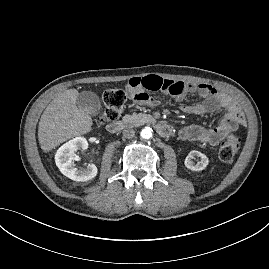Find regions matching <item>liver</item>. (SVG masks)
Segmentation results:
<instances>
[{
  "mask_svg": "<svg viewBox=\"0 0 269 269\" xmlns=\"http://www.w3.org/2000/svg\"><path fill=\"white\" fill-rule=\"evenodd\" d=\"M79 92L68 89L56 96L43 112L38 127L41 149L49 152L73 137L92 129V118L76 106Z\"/></svg>",
  "mask_w": 269,
  "mask_h": 269,
  "instance_id": "6515ba94",
  "label": "liver"
}]
</instances>
